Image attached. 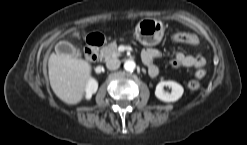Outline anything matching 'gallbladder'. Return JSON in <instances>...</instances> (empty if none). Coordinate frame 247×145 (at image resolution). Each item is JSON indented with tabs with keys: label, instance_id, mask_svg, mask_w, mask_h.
I'll use <instances>...</instances> for the list:
<instances>
[{
	"label": "gallbladder",
	"instance_id": "1",
	"mask_svg": "<svg viewBox=\"0 0 247 145\" xmlns=\"http://www.w3.org/2000/svg\"><path fill=\"white\" fill-rule=\"evenodd\" d=\"M55 50L57 54L67 55L72 58H77L81 56L80 51L67 41H61L57 43Z\"/></svg>",
	"mask_w": 247,
	"mask_h": 145
}]
</instances>
